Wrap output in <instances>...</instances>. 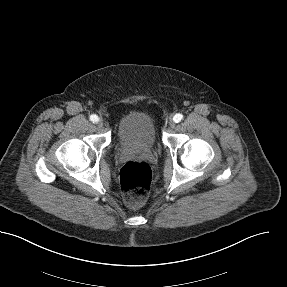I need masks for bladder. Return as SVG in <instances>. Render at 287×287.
<instances>
[{
    "instance_id": "1",
    "label": "bladder",
    "mask_w": 287,
    "mask_h": 287,
    "mask_svg": "<svg viewBox=\"0 0 287 287\" xmlns=\"http://www.w3.org/2000/svg\"><path fill=\"white\" fill-rule=\"evenodd\" d=\"M117 142L123 149L149 150L156 143L153 118L143 111L124 115L118 125Z\"/></svg>"
}]
</instances>
